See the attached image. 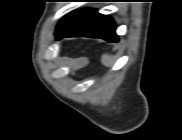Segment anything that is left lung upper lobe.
<instances>
[{"label": "left lung upper lobe", "mask_w": 182, "mask_h": 140, "mask_svg": "<svg viewBox=\"0 0 182 140\" xmlns=\"http://www.w3.org/2000/svg\"><path fill=\"white\" fill-rule=\"evenodd\" d=\"M95 10L91 8H85L78 11H74L66 15L57 25L55 36L56 39H61V36L79 24L82 20L92 14Z\"/></svg>", "instance_id": "1"}]
</instances>
